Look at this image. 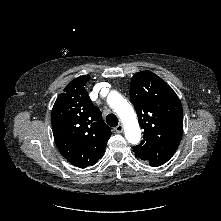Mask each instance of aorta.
<instances>
[{
	"instance_id": "aorta-1",
	"label": "aorta",
	"mask_w": 221,
	"mask_h": 221,
	"mask_svg": "<svg viewBox=\"0 0 221 221\" xmlns=\"http://www.w3.org/2000/svg\"><path fill=\"white\" fill-rule=\"evenodd\" d=\"M108 104L120 117L125 131V137L131 144H138L141 138V131L137 121L136 113L131 104L116 91L108 96Z\"/></svg>"
}]
</instances>
